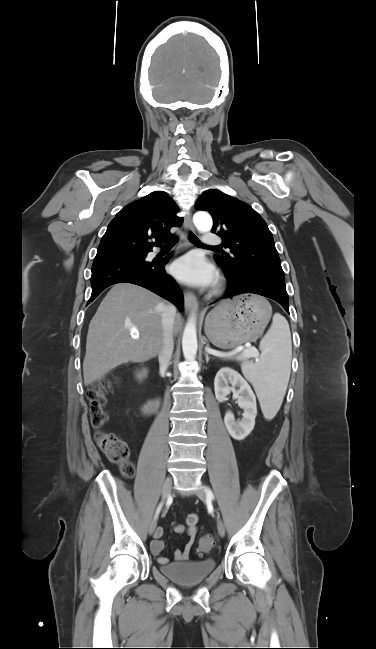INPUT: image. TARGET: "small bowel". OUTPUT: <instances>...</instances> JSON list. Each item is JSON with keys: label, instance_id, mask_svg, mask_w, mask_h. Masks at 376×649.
Instances as JSON below:
<instances>
[{"label": "small bowel", "instance_id": "1", "mask_svg": "<svg viewBox=\"0 0 376 649\" xmlns=\"http://www.w3.org/2000/svg\"><path fill=\"white\" fill-rule=\"evenodd\" d=\"M193 517L196 518L195 521H192ZM197 522H198L197 515L191 513L187 515L183 524L173 525V530L175 533L186 535L188 538L183 550L176 549L173 551V558L176 561L189 559L190 551L194 545L196 534L198 531ZM163 535H164V529L162 527H157L154 533L153 540L150 544L151 551L153 552V554L158 556L157 560L160 564H166L169 562L168 558L159 556V554L164 548Z\"/></svg>", "mask_w": 376, "mask_h": 649}]
</instances>
